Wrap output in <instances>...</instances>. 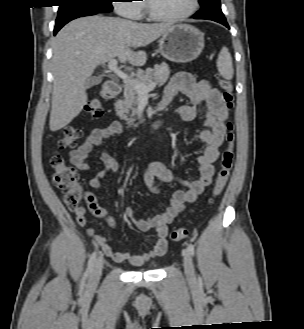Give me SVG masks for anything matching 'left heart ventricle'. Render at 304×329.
<instances>
[{"mask_svg": "<svg viewBox=\"0 0 304 329\" xmlns=\"http://www.w3.org/2000/svg\"><path fill=\"white\" fill-rule=\"evenodd\" d=\"M153 9L161 15H179L188 11L192 0H150Z\"/></svg>", "mask_w": 304, "mask_h": 329, "instance_id": "1", "label": "left heart ventricle"}]
</instances>
